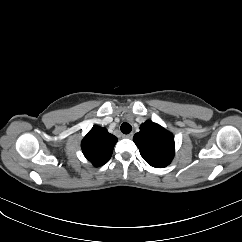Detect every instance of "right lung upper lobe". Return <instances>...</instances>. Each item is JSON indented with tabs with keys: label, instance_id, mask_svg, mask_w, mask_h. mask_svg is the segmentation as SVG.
Here are the masks:
<instances>
[{
	"label": "right lung upper lobe",
	"instance_id": "cb5924a9",
	"mask_svg": "<svg viewBox=\"0 0 242 242\" xmlns=\"http://www.w3.org/2000/svg\"><path fill=\"white\" fill-rule=\"evenodd\" d=\"M117 137L106 128L93 126L81 142L84 156L95 166L104 165L110 159Z\"/></svg>",
	"mask_w": 242,
	"mask_h": 242
}]
</instances>
